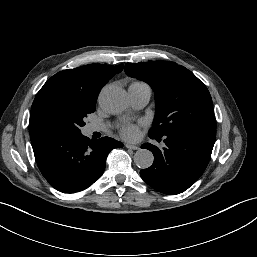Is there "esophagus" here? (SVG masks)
<instances>
[{
	"instance_id": "esophagus-1",
	"label": "esophagus",
	"mask_w": 257,
	"mask_h": 257,
	"mask_svg": "<svg viewBox=\"0 0 257 257\" xmlns=\"http://www.w3.org/2000/svg\"><path fill=\"white\" fill-rule=\"evenodd\" d=\"M125 147L131 150H138L139 146L138 145H132V144H125Z\"/></svg>"
}]
</instances>
